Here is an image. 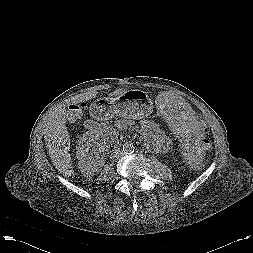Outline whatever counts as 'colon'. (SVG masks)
Returning <instances> with one entry per match:
<instances>
[{
	"instance_id": "colon-1",
	"label": "colon",
	"mask_w": 253,
	"mask_h": 253,
	"mask_svg": "<svg viewBox=\"0 0 253 253\" xmlns=\"http://www.w3.org/2000/svg\"><path fill=\"white\" fill-rule=\"evenodd\" d=\"M84 108H85L84 102L72 104L68 109L67 115L69 118L73 120L79 119L83 114Z\"/></svg>"
}]
</instances>
